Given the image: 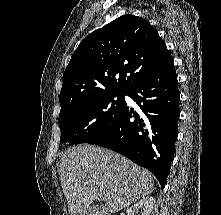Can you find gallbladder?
<instances>
[{"instance_id": "obj_1", "label": "gallbladder", "mask_w": 221, "mask_h": 215, "mask_svg": "<svg viewBox=\"0 0 221 215\" xmlns=\"http://www.w3.org/2000/svg\"><path fill=\"white\" fill-rule=\"evenodd\" d=\"M85 215H105L103 208L99 206H90L86 212Z\"/></svg>"}]
</instances>
